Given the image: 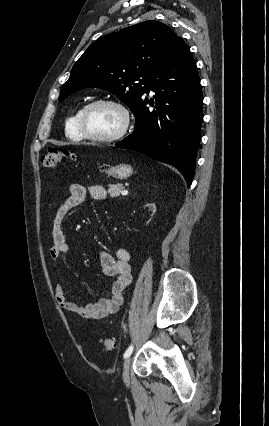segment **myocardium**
Segmentation results:
<instances>
[{"mask_svg":"<svg viewBox=\"0 0 269 426\" xmlns=\"http://www.w3.org/2000/svg\"><path fill=\"white\" fill-rule=\"evenodd\" d=\"M97 105H109L112 106L114 108H116L122 116V124L120 126V128L113 134H109V135H95L91 132H89L87 126H86V116L88 111ZM131 124V116H130V112L127 109V107L122 104L119 101L113 100V99H106V98H99V99H95L92 100L91 102L87 103L83 108L82 111L80 113L79 116V127L80 130L82 132V135L84 138L89 139V140H93V141H97V142H102V143H111V142H115L120 140L121 138H123L126 133L129 130Z\"/></svg>","mask_w":269,"mask_h":426,"instance_id":"myocardium-1","label":"myocardium"}]
</instances>
